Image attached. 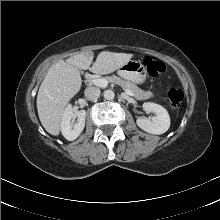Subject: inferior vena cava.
Instances as JSON below:
<instances>
[{
  "mask_svg": "<svg viewBox=\"0 0 220 220\" xmlns=\"http://www.w3.org/2000/svg\"><path fill=\"white\" fill-rule=\"evenodd\" d=\"M100 89L97 87H88L85 89L84 94L88 100H97L100 96Z\"/></svg>",
  "mask_w": 220,
  "mask_h": 220,
  "instance_id": "inferior-vena-cava-1",
  "label": "inferior vena cava"
}]
</instances>
